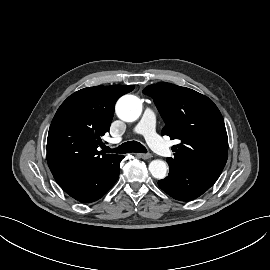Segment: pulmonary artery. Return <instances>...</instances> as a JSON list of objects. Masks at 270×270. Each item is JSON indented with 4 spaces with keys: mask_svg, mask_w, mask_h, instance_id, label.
I'll return each mask as SVG.
<instances>
[{
    "mask_svg": "<svg viewBox=\"0 0 270 270\" xmlns=\"http://www.w3.org/2000/svg\"><path fill=\"white\" fill-rule=\"evenodd\" d=\"M135 131L142 134L150 146L161 156L168 157L171 155L170 147L163 142L157 133L156 117L153 111L147 108L137 124Z\"/></svg>",
    "mask_w": 270,
    "mask_h": 270,
    "instance_id": "e3ab8cb5",
    "label": "pulmonary artery"
}]
</instances>
